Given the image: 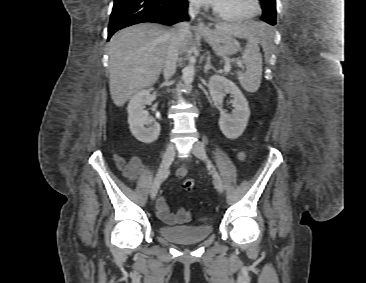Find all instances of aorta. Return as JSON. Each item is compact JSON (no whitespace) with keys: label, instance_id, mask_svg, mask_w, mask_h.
Segmentation results:
<instances>
[{"label":"aorta","instance_id":"1","mask_svg":"<svg viewBox=\"0 0 366 283\" xmlns=\"http://www.w3.org/2000/svg\"><path fill=\"white\" fill-rule=\"evenodd\" d=\"M195 58H190V63L183 69L182 80L186 85H189L194 80L195 75V66H194Z\"/></svg>","mask_w":366,"mask_h":283}]
</instances>
